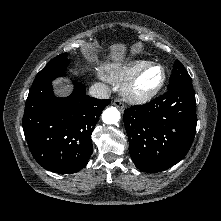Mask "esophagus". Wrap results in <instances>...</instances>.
I'll return each mask as SVG.
<instances>
[{
    "label": "esophagus",
    "mask_w": 221,
    "mask_h": 221,
    "mask_svg": "<svg viewBox=\"0 0 221 221\" xmlns=\"http://www.w3.org/2000/svg\"><path fill=\"white\" fill-rule=\"evenodd\" d=\"M113 105L116 106L120 111H123V110H124V104H123V102H122L121 99L116 98V99L113 101Z\"/></svg>",
    "instance_id": "34e87169"
}]
</instances>
